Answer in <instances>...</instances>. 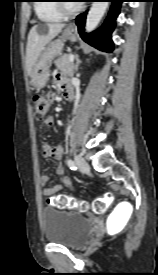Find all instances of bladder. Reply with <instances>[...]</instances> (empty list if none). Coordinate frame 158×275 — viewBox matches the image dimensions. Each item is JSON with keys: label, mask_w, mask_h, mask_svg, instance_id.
<instances>
[{"label": "bladder", "mask_w": 158, "mask_h": 275, "mask_svg": "<svg viewBox=\"0 0 158 275\" xmlns=\"http://www.w3.org/2000/svg\"><path fill=\"white\" fill-rule=\"evenodd\" d=\"M43 233L46 241L76 248L92 233L90 220L81 213L52 207L42 211Z\"/></svg>", "instance_id": "bladder-1"}]
</instances>
